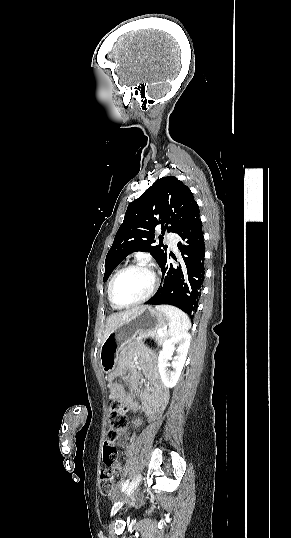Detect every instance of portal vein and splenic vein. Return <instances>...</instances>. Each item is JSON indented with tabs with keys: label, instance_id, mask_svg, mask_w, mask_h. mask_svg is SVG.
<instances>
[{
	"label": "portal vein and splenic vein",
	"instance_id": "obj_1",
	"mask_svg": "<svg viewBox=\"0 0 291 538\" xmlns=\"http://www.w3.org/2000/svg\"><path fill=\"white\" fill-rule=\"evenodd\" d=\"M158 334L159 335H163L164 333L162 331H158Z\"/></svg>",
	"mask_w": 291,
	"mask_h": 538
}]
</instances>
